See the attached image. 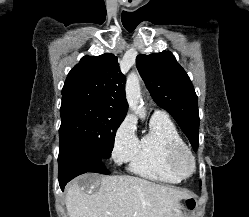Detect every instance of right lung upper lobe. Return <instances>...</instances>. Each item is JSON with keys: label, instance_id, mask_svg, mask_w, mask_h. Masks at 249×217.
Instances as JSON below:
<instances>
[{"label": "right lung upper lobe", "instance_id": "cb5924a9", "mask_svg": "<svg viewBox=\"0 0 249 217\" xmlns=\"http://www.w3.org/2000/svg\"><path fill=\"white\" fill-rule=\"evenodd\" d=\"M125 77L113 54L84 56L69 72L62 100H88L126 115Z\"/></svg>", "mask_w": 249, "mask_h": 217}]
</instances>
